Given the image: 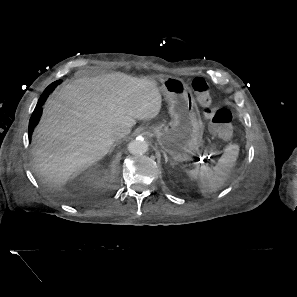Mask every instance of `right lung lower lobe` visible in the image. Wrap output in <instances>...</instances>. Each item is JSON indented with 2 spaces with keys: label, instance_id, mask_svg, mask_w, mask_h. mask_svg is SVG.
Returning <instances> with one entry per match:
<instances>
[{
  "label": "right lung lower lobe",
  "instance_id": "98d812e1",
  "mask_svg": "<svg viewBox=\"0 0 297 297\" xmlns=\"http://www.w3.org/2000/svg\"><path fill=\"white\" fill-rule=\"evenodd\" d=\"M53 89L50 88H46L45 91L43 92L42 96L40 97L34 111L33 114L30 118V122H29V134L31 135L33 133L34 128L36 127V125L38 124L40 117L42 115V105L44 104V102L46 101V98L48 97L49 93L52 91Z\"/></svg>",
  "mask_w": 297,
  "mask_h": 297
}]
</instances>
